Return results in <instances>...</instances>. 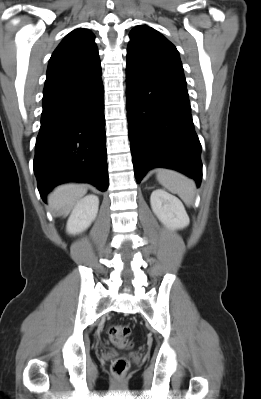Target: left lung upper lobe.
<instances>
[{
	"label": "left lung upper lobe",
	"mask_w": 261,
	"mask_h": 399,
	"mask_svg": "<svg viewBox=\"0 0 261 399\" xmlns=\"http://www.w3.org/2000/svg\"><path fill=\"white\" fill-rule=\"evenodd\" d=\"M129 36L127 68L141 76L186 85L179 53L170 41L146 25L137 26Z\"/></svg>",
	"instance_id": "obj_1"
}]
</instances>
